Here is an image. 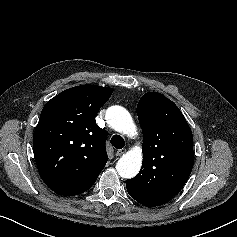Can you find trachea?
<instances>
[{
  "instance_id": "obj_1",
  "label": "trachea",
  "mask_w": 237,
  "mask_h": 237,
  "mask_svg": "<svg viewBox=\"0 0 237 237\" xmlns=\"http://www.w3.org/2000/svg\"><path fill=\"white\" fill-rule=\"evenodd\" d=\"M111 144L116 149H122L125 145V142L122 136L116 134L111 138Z\"/></svg>"
}]
</instances>
